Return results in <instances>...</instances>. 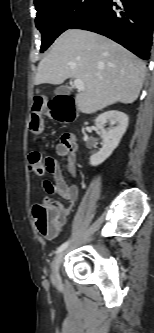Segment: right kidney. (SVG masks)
<instances>
[{"label":"right kidney","instance_id":"ca27d5eb","mask_svg":"<svg viewBox=\"0 0 154 333\" xmlns=\"http://www.w3.org/2000/svg\"><path fill=\"white\" fill-rule=\"evenodd\" d=\"M128 122L129 119L125 113L115 110L102 113L96 118L95 124L101 131L104 144L99 152L90 157V165L97 166L112 154L125 134ZM106 123L110 124V128H104Z\"/></svg>","mask_w":154,"mask_h":333}]
</instances>
